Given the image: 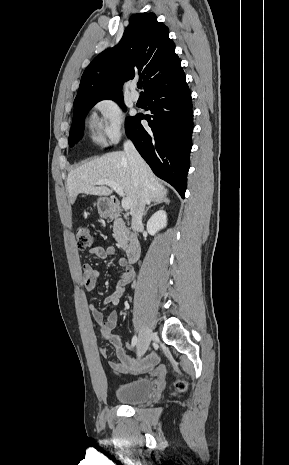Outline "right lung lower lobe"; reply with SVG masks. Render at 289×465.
<instances>
[{
	"label": "right lung lower lobe",
	"mask_w": 289,
	"mask_h": 465,
	"mask_svg": "<svg viewBox=\"0 0 289 465\" xmlns=\"http://www.w3.org/2000/svg\"><path fill=\"white\" fill-rule=\"evenodd\" d=\"M146 98L151 114L134 117L127 136L155 175L184 198L193 132L192 99L186 79L154 89ZM141 119L147 120L149 127H143Z\"/></svg>",
	"instance_id": "1"
}]
</instances>
